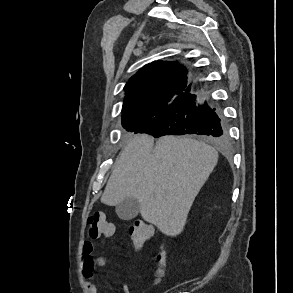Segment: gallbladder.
I'll return each instance as SVG.
<instances>
[{
	"label": "gallbladder",
	"instance_id": "obj_1",
	"mask_svg": "<svg viewBox=\"0 0 293 293\" xmlns=\"http://www.w3.org/2000/svg\"><path fill=\"white\" fill-rule=\"evenodd\" d=\"M140 209V204L135 198H125L116 206V213L122 220L128 221L135 218Z\"/></svg>",
	"mask_w": 293,
	"mask_h": 293
}]
</instances>
